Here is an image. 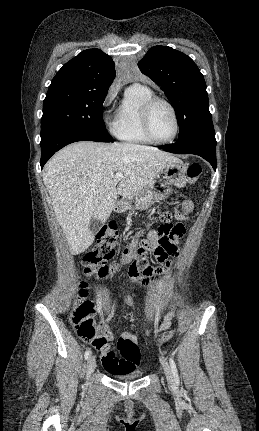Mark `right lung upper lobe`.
Listing matches in <instances>:
<instances>
[{"mask_svg": "<svg viewBox=\"0 0 259 431\" xmlns=\"http://www.w3.org/2000/svg\"><path fill=\"white\" fill-rule=\"evenodd\" d=\"M115 78V64L103 51H82L67 62L53 78L48 91L68 89L85 92H108Z\"/></svg>", "mask_w": 259, "mask_h": 431, "instance_id": "1", "label": "right lung upper lobe"}]
</instances>
